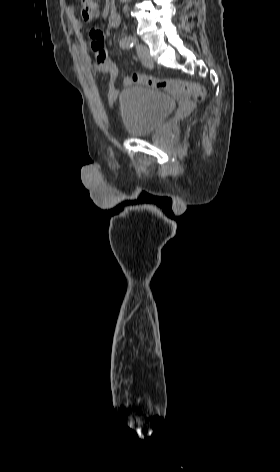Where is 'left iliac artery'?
I'll return each mask as SVG.
<instances>
[{"label": "left iliac artery", "instance_id": "left-iliac-artery-1", "mask_svg": "<svg viewBox=\"0 0 280 472\" xmlns=\"http://www.w3.org/2000/svg\"><path fill=\"white\" fill-rule=\"evenodd\" d=\"M136 38L133 36H126L120 40V47L122 49H129L134 46Z\"/></svg>", "mask_w": 280, "mask_h": 472}]
</instances>
